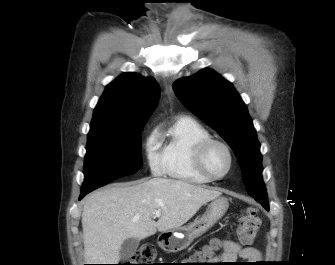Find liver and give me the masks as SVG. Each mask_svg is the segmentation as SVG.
Here are the masks:
<instances>
[{"label": "liver", "mask_w": 335, "mask_h": 265, "mask_svg": "<svg viewBox=\"0 0 335 265\" xmlns=\"http://www.w3.org/2000/svg\"><path fill=\"white\" fill-rule=\"evenodd\" d=\"M220 195L218 190L164 178L96 191L85 199L82 210L85 262L117 264L126 239L178 229ZM156 211L161 212L157 222Z\"/></svg>", "instance_id": "1"}]
</instances>
